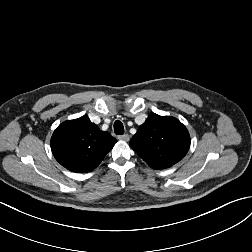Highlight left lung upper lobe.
Instances as JSON below:
<instances>
[{"mask_svg":"<svg viewBox=\"0 0 252 252\" xmlns=\"http://www.w3.org/2000/svg\"><path fill=\"white\" fill-rule=\"evenodd\" d=\"M129 145L151 168L159 169L186 155L190 136L178 119L153 113L139 126Z\"/></svg>","mask_w":252,"mask_h":252,"instance_id":"5c2ea615","label":"left lung upper lobe"}]
</instances>
